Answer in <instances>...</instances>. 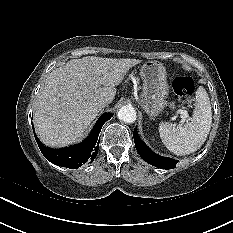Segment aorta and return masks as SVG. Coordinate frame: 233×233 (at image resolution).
<instances>
[{"label":"aorta","instance_id":"1","mask_svg":"<svg viewBox=\"0 0 233 233\" xmlns=\"http://www.w3.org/2000/svg\"><path fill=\"white\" fill-rule=\"evenodd\" d=\"M117 116L120 120L129 124L134 123L137 118L136 111L131 105L122 106Z\"/></svg>","mask_w":233,"mask_h":233}]
</instances>
